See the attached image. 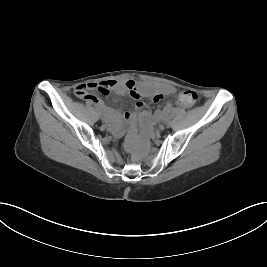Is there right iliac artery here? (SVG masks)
Returning <instances> with one entry per match:
<instances>
[{"instance_id":"82829eb1","label":"right iliac artery","mask_w":267,"mask_h":267,"mask_svg":"<svg viewBox=\"0 0 267 267\" xmlns=\"http://www.w3.org/2000/svg\"><path fill=\"white\" fill-rule=\"evenodd\" d=\"M95 110H96L97 113H101V110H100L99 107H95Z\"/></svg>"}]
</instances>
